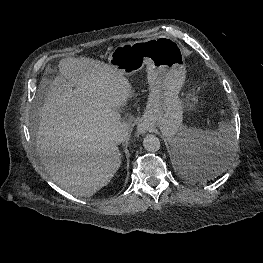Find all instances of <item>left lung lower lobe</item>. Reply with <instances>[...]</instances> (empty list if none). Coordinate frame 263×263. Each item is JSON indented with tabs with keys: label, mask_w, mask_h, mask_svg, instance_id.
Masks as SVG:
<instances>
[{
	"label": "left lung lower lobe",
	"mask_w": 263,
	"mask_h": 263,
	"mask_svg": "<svg viewBox=\"0 0 263 263\" xmlns=\"http://www.w3.org/2000/svg\"><path fill=\"white\" fill-rule=\"evenodd\" d=\"M224 162V152L216 146H209L197 154L176 152L177 169L186 178L206 180L213 178Z\"/></svg>",
	"instance_id": "left-lung-lower-lobe-1"
}]
</instances>
